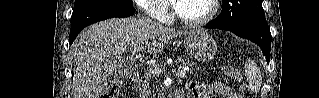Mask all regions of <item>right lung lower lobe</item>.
Segmentation results:
<instances>
[{
    "instance_id": "obj_1",
    "label": "right lung lower lobe",
    "mask_w": 319,
    "mask_h": 98,
    "mask_svg": "<svg viewBox=\"0 0 319 98\" xmlns=\"http://www.w3.org/2000/svg\"><path fill=\"white\" fill-rule=\"evenodd\" d=\"M134 13V7L118 4H99L76 8L71 16L70 44L73 43L79 32L88 25L112 17H128Z\"/></svg>"
}]
</instances>
